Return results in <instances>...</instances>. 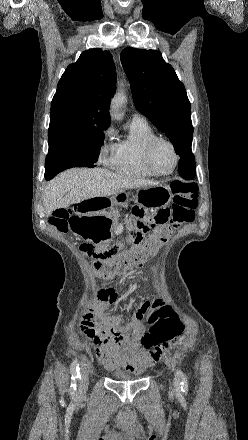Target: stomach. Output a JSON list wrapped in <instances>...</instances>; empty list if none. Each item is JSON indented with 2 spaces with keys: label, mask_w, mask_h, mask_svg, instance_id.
<instances>
[{
  "label": "stomach",
  "mask_w": 248,
  "mask_h": 440,
  "mask_svg": "<svg viewBox=\"0 0 248 440\" xmlns=\"http://www.w3.org/2000/svg\"><path fill=\"white\" fill-rule=\"evenodd\" d=\"M129 193L125 191L110 198L96 197L85 200L84 204H74L73 211L79 218H70V231L76 237H82L85 246H103L108 244L112 232V219L105 207L111 205L126 206ZM172 198L171 189L163 184L141 187L136 199L145 201L151 208L168 205Z\"/></svg>",
  "instance_id": "1"
}]
</instances>
